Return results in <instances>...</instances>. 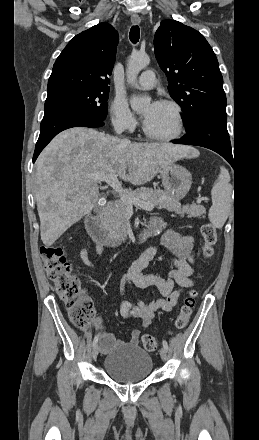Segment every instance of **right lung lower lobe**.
<instances>
[{
  "mask_svg": "<svg viewBox=\"0 0 259 440\" xmlns=\"http://www.w3.org/2000/svg\"><path fill=\"white\" fill-rule=\"evenodd\" d=\"M103 125V120L77 113H66L43 118L40 125V135L33 155V163L43 148L61 131L77 126L96 128Z\"/></svg>",
  "mask_w": 259,
  "mask_h": 440,
  "instance_id": "obj_1",
  "label": "right lung lower lobe"
}]
</instances>
